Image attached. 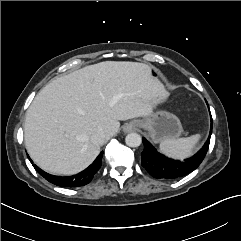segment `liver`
Segmentation results:
<instances>
[{"instance_id":"liver-1","label":"liver","mask_w":241,"mask_h":241,"mask_svg":"<svg viewBox=\"0 0 241 241\" xmlns=\"http://www.w3.org/2000/svg\"><path fill=\"white\" fill-rule=\"evenodd\" d=\"M162 98V86L143 63L105 61L57 77L27 110L26 149L41 169L76 174L100 152L90 140L93 133L103 131L110 139L119 121L150 115Z\"/></svg>"}]
</instances>
